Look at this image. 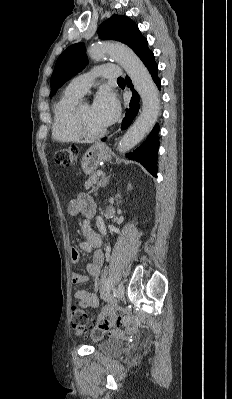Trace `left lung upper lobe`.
I'll return each mask as SVG.
<instances>
[{
  "mask_svg": "<svg viewBox=\"0 0 232 399\" xmlns=\"http://www.w3.org/2000/svg\"><path fill=\"white\" fill-rule=\"evenodd\" d=\"M103 40H116L127 44L135 53L147 44L137 25L129 18L113 15L103 22L97 30ZM87 64L84 44L78 43L69 46L57 59L51 77L52 95L69 79L80 72Z\"/></svg>",
  "mask_w": 232,
  "mask_h": 399,
  "instance_id": "1",
  "label": "left lung upper lobe"
}]
</instances>
